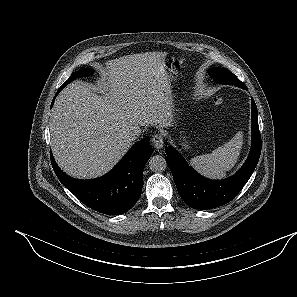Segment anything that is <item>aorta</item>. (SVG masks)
<instances>
[{"label":"aorta","instance_id":"obj_1","mask_svg":"<svg viewBox=\"0 0 297 297\" xmlns=\"http://www.w3.org/2000/svg\"><path fill=\"white\" fill-rule=\"evenodd\" d=\"M167 167V163L164 157L155 155L149 159V168L154 172L164 171Z\"/></svg>","mask_w":297,"mask_h":297}]
</instances>
